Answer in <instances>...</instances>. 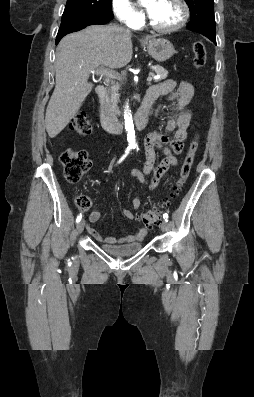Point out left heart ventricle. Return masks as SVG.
<instances>
[{"mask_svg": "<svg viewBox=\"0 0 254 397\" xmlns=\"http://www.w3.org/2000/svg\"><path fill=\"white\" fill-rule=\"evenodd\" d=\"M147 8L153 22L161 27L172 26L181 18V8L174 0H150Z\"/></svg>", "mask_w": 254, "mask_h": 397, "instance_id": "left-heart-ventricle-1", "label": "left heart ventricle"}]
</instances>
